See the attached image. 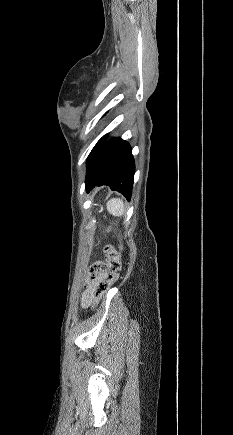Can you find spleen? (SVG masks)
Segmentation results:
<instances>
[{
  "mask_svg": "<svg viewBox=\"0 0 233 435\" xmlns=\"http://www.w3.org/2000/svg\"><path fill=\"white\" fill-rule=\"evenodd\" d=\"M106 205L108 212L113 216H122L125 212L124 203L121 199L112 198Z\"/></svg>",
  "mask_w": 233,
  "mask_h": 435,
  "instance_id": "spleen-1",
  "label": "spleen"
}]
</instances>
